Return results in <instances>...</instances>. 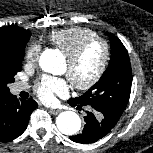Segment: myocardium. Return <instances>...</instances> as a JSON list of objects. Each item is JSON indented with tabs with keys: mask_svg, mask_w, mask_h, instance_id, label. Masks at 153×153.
Masks as SVG:
<instances>
[{
	"mask_svg": "<svg viewBox=\"0 0 153 153\" xmlns=\"http://www.w3.org/2000/svg\"><path fill=\"white\" fill-rule=\"evenodd\" d=\"M95 43H100L103 46L104 50L102 62L95 74L86 82H77L71 77L70 74H67L71 84L77 90L87 91L93 88L101 80L110 62L111 46L106 39L96 36L83 41L75 50H73L69 55H67L68 64L70 66H73L79 61L85 51Z\"/></svg>",
	"mask_w": 153,
	"mask_h": 153,
	"instance_id": "myocardium-1",
	"label": "myocardium"
}]
</instances>
